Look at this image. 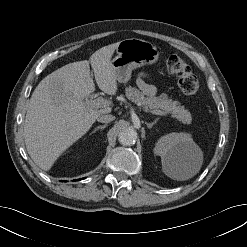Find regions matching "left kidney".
I'll list each match as a JSON object with an SVG mask.
<instances>
[{
    "label": "left kidney",
    "instance_id": "1",
    "mask_svg": "<svg viewBox=\"0 0 247 247\" xmlns=\"http://www.w3.org/2000/svg\"><path fill=\"white\" fill-rule=\"evenodd\" d=\"M154 152L161 157L163 163H169L182 158L191 159L199 152V148L190 134L170 133L158 140Z\"/></svg>",
    "mask_w": 247,
    "mask_h": 247
}]
</instances>
